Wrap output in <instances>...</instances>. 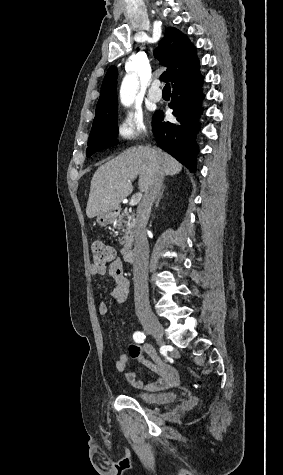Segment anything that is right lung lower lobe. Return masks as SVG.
Masks as SVG:
<instances>
[{"label":"right lung lower lobe","instance_id":"1","mask_svg":"<svg viewBox=\"0 0 283 475\" xmlns=\"http://www.w3.org/2000/svg\"><path fill=\"white\" fill-rule=\"evenodd\" d=\"M203 76L199 70L192 71L172 84L171 102L168 106L176 122H165L162 111L153 116V133L160 148L171 154L191 172L196 170L198 146L195 136L200 130L199 116L203 109L201 102Z\"/></svg>","mask_w":283,"mask_h":475}]
</instances>
